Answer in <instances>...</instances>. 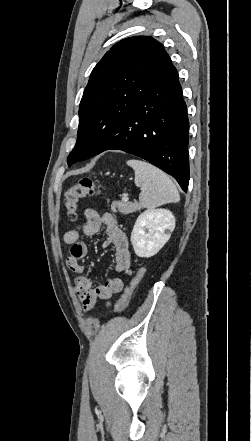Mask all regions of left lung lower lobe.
<instances>
[{"label":"left lung lower lobe","mask_w":251,"mask_h":441,"mask_svg":"<svg viewBox=\"0 0 251 441\" xmlns=\"http://www.w3.org/2000/svg\"><path fill=\"white\" fill-rule=\"evenodd\" d=\"M186 103L171 63L123 116L101 122L88 141V158L115 149L139 156L173 176L186 192L189 183Z\"/></svg>","instance_id":"left-lung-lower-lobe-1"}]
</instances>
